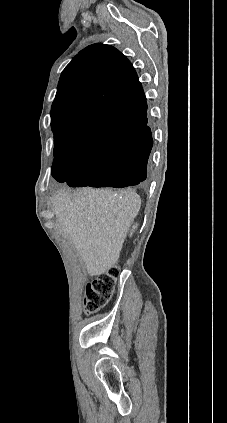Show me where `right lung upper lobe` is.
<instances>
[{"label": "right lung upper lobe", "instance_id": "1", "mask_svg": "<svg viewBox=\"0 0 227 423\" xmlns=\"http://www.w3.org/2000/svg\"><path fill=\"white\" fill-rule=\"evenodd\" d=\"M141 97L144 92L137 74L121 52L101 43L88 46L61 74L51 107L55 144L90 154L128 138L132 126L123 120L106 119L99 109Z\"/></svg>", "mask_w": 227, "mask_h": 423}]
</instances>
